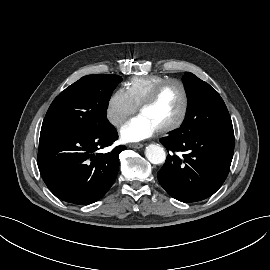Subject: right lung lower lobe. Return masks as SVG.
<instances>
[{"mask_svg":"<svg viewBox=\"0 0 270 270\" xmlns=\"http://www.w3.org/2000/svg\"><path fill=\"white\" fill-rule=\"evenodd\" d=\"M117 139L111 124L97 132L41 131L37 163L45 184L69 203L98 201L114 183L118 156L126 147L117 146L106 154L97 151Z\"/></svg>","mask_w":270,"mask_h":270,"instance_id":"right-lung-lower-lobe-1","label":"right lung lower lobe"}]
</instances>
